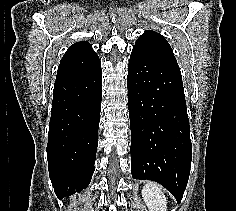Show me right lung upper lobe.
<instances>
[{
    "label": "right lung upper lobe",
    "mask_w": 236,
    "mask_h": 211,
    "mask_svg": "<svg viewBox=\"0 0 236 211\" xmlns=\"http://www.w3.org/2000/svg\"><path fill=\"white\" fill-rule=\"evenodd\" d=\"M100 67L99 57L92 46L86 41L77 42L61 59L55 82L85 76Z\"/></svg>",
    "instance_id": "right-lung-upper-lobe-1"
}]
</instances>
